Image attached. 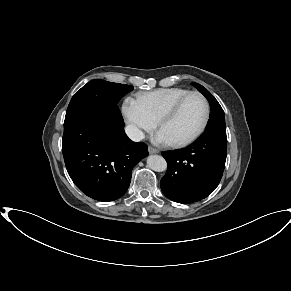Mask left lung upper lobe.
Segmentation results:
<instances>
[{
  "instance_id": "5c2ea615",
  "label": "left lung upper lobe",
  "mask_w": 291,
  "mask_h": 291,
  "mask_svg": "<svg viewBox=\"0 0 291 291\" xmlns=\"http://www.w3.org/2000/svg\"><path fill=\"white\" fill-rule=\"evenodd\" d=\"M194 87H196L199 92H201L209 101L211 113L210 120L205 130L208 129H218V128H226L225 126V116L224 111L218 101L214 98V96L202 85L198 83H192Z\"/></svg>"
}]
</instances>
